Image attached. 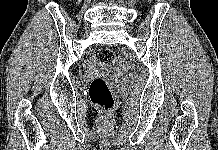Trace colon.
Masks as SVG:
<instances>
[{
	"label": "colon",
	"instance_id": "5ec220e1",
	"mask_svg": "<svg viewBox=\"0 0 218 150\" xmlns=\"http://www.w3.org/2000/svg\"><path fill=\"white\" fill-rule=\"evenodd\" d=\"M96 59L101 64H109L114 61L115 54L108 47L99 48L95 53ZM89 97L95 107L104 113H108L114 106V96L103 77H96L89 87Z\"/></svg>",
	"mask_w": 218,
	"mask_h": 150
}]
</instances>
